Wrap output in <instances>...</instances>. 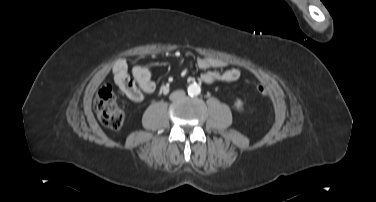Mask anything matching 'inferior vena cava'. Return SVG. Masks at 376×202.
Returning a JSON list of instances; mask_svg holds the SVG:
<instances>
[{"mask_svg": "<svg viewBox=\"0 0 376 202\" xmlns=\"http://www.w3.org/2000/svg\"><path fill=\"white\" fill-rule=\"evenodd\" d=\"M185 95V92L183 90L175 91L170 95V99L174 100L176 98L183 97Z\"/></svg>", "mask_w": 376, "mask_h": 202, "instance_id": "obj_1", "label": "inferior vena cava"}]
</instances>
